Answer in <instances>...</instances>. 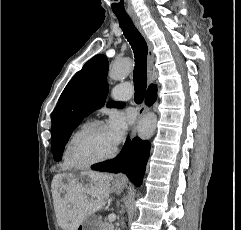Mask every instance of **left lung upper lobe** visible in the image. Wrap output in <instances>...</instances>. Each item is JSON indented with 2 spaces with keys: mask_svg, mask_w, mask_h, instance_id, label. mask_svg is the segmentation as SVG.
<instances>
[{
  "mask_svg": "<svg viewBox=\"0 0 241 230\" xmlns=\"http://www.w3.org/2000/svg\"><path fill=\"white\" fill-rule=\"evenodd\" d=\"M108 59L98 54L85 63L62 92L52 113V153L60 161L72 131L91 112L101 108L108 94ZM108 107L122 108L121 102Z\"/></svg>",
  "mask_w": 241,
  "mask_h": 230,
  "instance_id": "left-lung-upper-lobe-1",
  "label": "left lung upper lobe"
}]
</instances>
